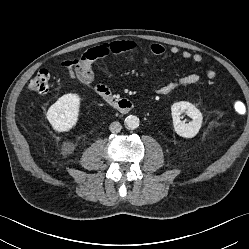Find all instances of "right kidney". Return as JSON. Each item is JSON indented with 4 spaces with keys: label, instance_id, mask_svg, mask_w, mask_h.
I'll return each instance as SVG.
<instances>
[{
    "label": "right kidney",
    "instance_id": "1",
    "mask_svg": "<svg viewBox=\"0 0 249 249\" xmlns=\"http://www.w3.org/2000/svg\"><path fill=\"white\" fill-rule=\"evenodd\" d=\"M80 108V98L77 94H65L48 109L46 117L57 132L69 131L75 126ZM69 147V144H66Z\"/></svg>",
    "mask_w": 249,
    "mask_h": 249
}]
</instances>
